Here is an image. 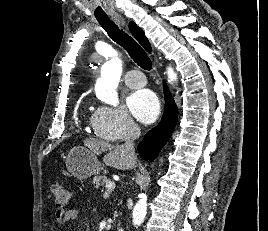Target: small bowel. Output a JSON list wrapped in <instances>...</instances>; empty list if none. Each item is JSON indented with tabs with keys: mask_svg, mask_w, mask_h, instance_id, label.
<instances>
[{
	"mask_svg": "<svg viewBox=\"0 0 268 231\" xmlns=\"http://www.w3.org/2000/svg\"><path fill=\"white\" fill-rule=\"evenodd\" d=\"M56 222L58 225H64L69 222H74L79 217V211L77 209H58L55 214Z\"/></svg>",
	"mask_w": 268,
	"mask_h": 231,
	"instance_id": "c3829d8e",
	"label": "small bowel"
}]
</instances>
